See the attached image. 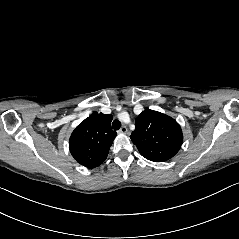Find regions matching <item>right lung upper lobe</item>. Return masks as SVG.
Returning a JSON list of instances; mask_svg holds the SVG:
<instances>
[{"mask_svg": "<svg viewBox=\"0 0 239 239\" xmlns=\"http://www.w3.org/2000/svg\"><path fill=\"white\" fill-rule=\"evenodd\" d=\"M112 115L92 113L72 132L69 149L77 162L87 168L101 165L117 133L111 129Z\"/></svg>", "mask_w": 239, "mask_h": 239, "instance_id": "right-lung-upper-lobe-1", "label": "right lung upper lobe"}]
</instances>
